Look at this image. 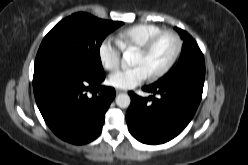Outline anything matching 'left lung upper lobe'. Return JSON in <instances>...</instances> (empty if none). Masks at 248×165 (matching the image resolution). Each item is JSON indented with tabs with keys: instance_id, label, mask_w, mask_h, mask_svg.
Here are the masks:
<instances>
[{
	"instance_id": "1",
	"label": "left lung upper lobe",
	"mask_w": 248,
	"mask_h": 165,
	"mask_svg": "<svg viewBox=\"0 0 248 165\" xmlns=\"http://www.w3.org/2000/svg\"><path fill=\"white\" fill-rule=\"evenodd\" d=\"M184 40L176 67L152 85L180 81L191 76H205V61L197 42L186 31L175 27Z\"/></svg>"
}]
</instances>
